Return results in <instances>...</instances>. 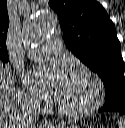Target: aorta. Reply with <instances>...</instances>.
Masks as SVG:
<instances>
[{
    "label": "aorta",
    "instance_id": "1",
    "mask_svg": "<svg viewBox=\"0 0 125 128\" xmlns=\"http://www.w3.org/2000/svg\"><path fill=\"white\" fill-rule=\"evenodd\" d=\"M57 19L52 11H44L39 16L29 18L23 25L22 37L27 44L38 43L56 27Z\"/></svg>",
    "mask_w": 125,
    "mask_h": 128
}]
</instances>
